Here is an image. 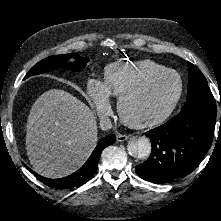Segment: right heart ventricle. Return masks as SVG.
<instances>
[{
  "label": "right heart ventricle",
  "mask_w": 221,
  "mask_h": 221,
  "mask_svg": "<svg viewBox=\"0 0 221 221\" xmlns=\"http://www.w3.org/2000/svg\"><path fill=\"white\" fill-rule=\"evenodd\" d=\"M167 69L152 60L116 62L104 70V85L112 96L120 97L151 75Z\"/></svg>",
  "instance_id": "1"
}]
</instances>
